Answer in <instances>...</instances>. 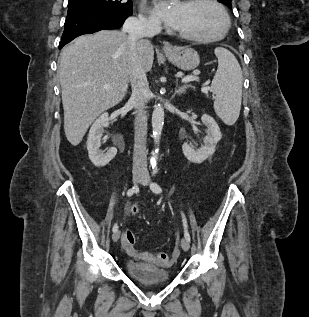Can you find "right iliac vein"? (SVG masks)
Returning <instances> with one entry per match:
<instances>
[{"instance_id":"obj_1","label":"right iliac vein","mask_w":309,"mask_h":317,"mask_svg":"<svg viewBox=\"0 0 309 317\" xmlns=\"http://www.w3.org/2000/svg\"><path fill=\"white\" fill-rule=\"evenodd\" d=\"M143 176H144V174H143L142 171H139V170L134 171V172H133V177H132L133 183H134V184L139 183V182L141 181V179L143 178ZM119 238H120V231L117 230L116 232L113 233V235H112V240H113L114 242H117V241L119 240Z\"/></svg>"}]
</instances>
